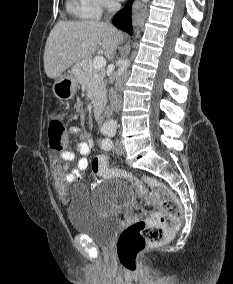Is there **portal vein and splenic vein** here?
<instances>
[{
  "mask_svg": "<svg viewBox=\"0 0 233 284\" xmlns=\"http://www.w3.org/2000/svg\"><path fill=\"white\" fill-rule=\"evenodd\" d=\"M105 65H106V60H105V58H103L101 56L95 57L93 62H92V66L95 69H102V68L105 67Z\"/></svg>",
  "mask_w": 233,
  "mask_h": 284,
  "instance_id": "portal-vein-and-splenic-vein-1",
  "label": "portal vein and splenic vein"
}]
</instances>
